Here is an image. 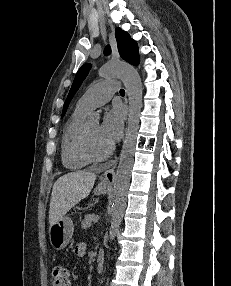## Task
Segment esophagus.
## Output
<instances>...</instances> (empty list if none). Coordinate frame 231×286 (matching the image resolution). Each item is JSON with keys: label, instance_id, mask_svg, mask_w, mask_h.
Returning <instances> with one entry per match:
<instances>
[{"label": "esophagus", "instance_id": "34e87169", "mask_svg": "<svg viewBox=\"0 0 231 286\" xmlns=\"http://www.w3.org/2000/svg\"><path fill=\"white\" fill-rule=\"evenodd\" d=\"M117 161L114 162V165L105 171L103 174V178L101 184L106 186H112L115 181V169H116Z\"/></svg>", "mask_w": 231, "mask_h": 286}]
</instances>
